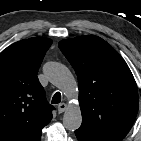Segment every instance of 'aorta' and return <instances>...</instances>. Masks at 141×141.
Segmentation results:
<instances>
[{
	"mask_svg": "<svg viewBox=\"0 0 141 141\" xmlns=\"http://www.w3.org/2000/svg\"><path fill=\"white\" fill-rule=\"evenodd\" d=\"M49 81L59 88L68 98H76L78 90L71 71L62 63L47 62L43 67ZM82 124V114L79 105L71 104L63 115V125L69 131L77 130Z\"/></svg>",
	"mask_w": 141,
	"mask_h": 141,
	"instance_id": "obj_1",
	"label": "aorta"
}]
</instances>
